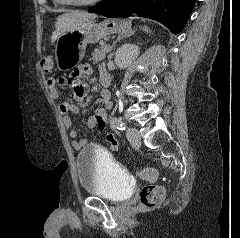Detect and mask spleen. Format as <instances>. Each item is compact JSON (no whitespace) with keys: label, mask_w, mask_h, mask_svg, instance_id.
I'll return each mask as SVG.
<instances>
[{"label":"spleen","mask_w":240,"mask_h":238,"mask_svg":"<svg viewBox=\"0 0 240 238\" xmlns=\"http://www.w3.org/2000/svg\"><path fill=\"white\" fill-rule=\"evenodd\" d=\"M142 29H143V31H145V32H150V30L145 26V27H142Z\"/></svg>","instance_id":"spleen-1"}]
</instances>
